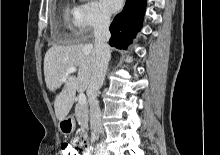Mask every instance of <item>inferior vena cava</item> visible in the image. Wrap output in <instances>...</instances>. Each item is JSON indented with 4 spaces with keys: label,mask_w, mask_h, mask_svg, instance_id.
Segmentation results:
<instances>
[{
    "label": "inferior vena cava",
    "mask_w": 220,
    "mask_h": 155,
    "mask_svg": "<svg viewBox=\"0 0 220 155\" xmlns=\"http://www.w3.org/2000/svg\"><path fill=\"white\" fill-rule=\"evenodd\" d=\"M110 16L106 13H100L94 26V46L92 73L90 83L87 88L88 102L90 106V129L92 139L103 134L101 122V112L97 96L103 85L108 62L110 60V49L107 44L110 38L109 32Z\"/></svg>",
    "instance_id": "602c4592"
}]
</instances>
